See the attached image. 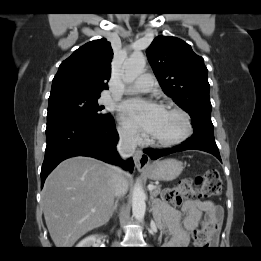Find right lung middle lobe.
<instances>
[{"label": "right lung middle lobe", "instance_id": "right-lung-middle-lobe-1", "mask_svg": "<svg viewBox=\"0 0 261 261\" xmlns=\"http://www.w3.org/2000/svg\"><path fill=\"white\" fill-rule=\"evenodd\" d=\"M99 97L77 92H59L50 95L47 122L71 117L93 120L110 119V114L100 112L104 107L98 105Z\"/></svg>", "mask_w": 261, "mask_h": 261}]
</instances>
